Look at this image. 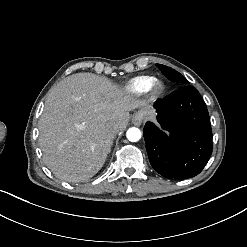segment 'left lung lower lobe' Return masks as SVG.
<instances>
[{
  "instance_id": "left-lung-lower-lobe-1",
  "label": "left lung lower lobe",
  "mask_w": 247,
  "mask_h": 247,
  "mask_svg": "<svg viewBox=\"0 0 247 247\" xmlns=\"http://www.w3.org/2000/svg\"><path fill=\"white\" fill-rule=\"evenodd\" d=\"M157 121L144 127L150 163L166 178L199 174L212 154V130L205 102L196 88L182 86L154 104Z\"/></svg>"
}]
</instances>
